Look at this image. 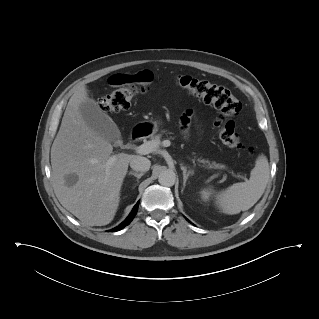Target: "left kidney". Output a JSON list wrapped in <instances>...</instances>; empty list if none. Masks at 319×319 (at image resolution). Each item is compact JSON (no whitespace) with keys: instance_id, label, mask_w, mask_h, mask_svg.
<instances>
[{"instance_id":"5707ae66","label":"left kidney","mask_w":319,"mask_h":319,"mask_svg":"<svg viewBox=\"0 0 319 319\" xmlns=\"http://www.w3.org/2000/svg\"><path fill=\"white\" fill-rule=\"evenodd\" d=\"M201 197H202L203 200L206 201L208 199V197H209V192L207 190L201 191Z\"/></svg>"}]
</instances>
